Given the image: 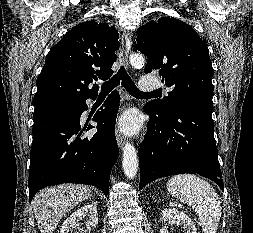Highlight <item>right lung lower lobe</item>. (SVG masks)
I'll return each mask as SVG.
<instances>
[{
    "label": "right lung lower lobe",
    "mask_w": 253,
    "mask_h": 233,
    "mask_svg": "<svg viewBox=\"0 0 253 233\" xmlns=\"http://www.w3.org/2000/svg\"><path fill=\"white\" fill-rule=\"evenodd\" d=\"M53 100L35 106L33 142L30 152L29 200L36 192L50 185L78 183L100 188L107 196L112 166L119 149L115 137V121L119 95L112 92L93 121L97 133L82 137L93 128L80 124L86 99Z\"/></svg>",
    "instance_id": "1"
}]
</instances>
